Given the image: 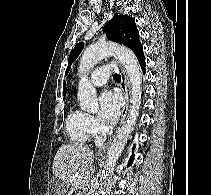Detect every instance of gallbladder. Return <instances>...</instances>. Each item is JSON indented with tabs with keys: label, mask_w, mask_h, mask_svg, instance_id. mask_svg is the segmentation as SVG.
Listing matches in <instances>:
<instances>
[{
	"label": "gallbladder",
	"mask_w": 211,
	"mask_h": 195,
	"mask_svg": "<svg viewBox=\"0 0 211 195\" xmlns=\"http://www.w3.org/2000/svg\"><path fill=\"white\" fill-rule=\"evenodd\" d=\"M52 190H53L54 192H55V191H57V187H56V181H55V179H54V181H53Z\"/></svg>",
	"instance_id": "gallbladder-1"
}]
</instances>
